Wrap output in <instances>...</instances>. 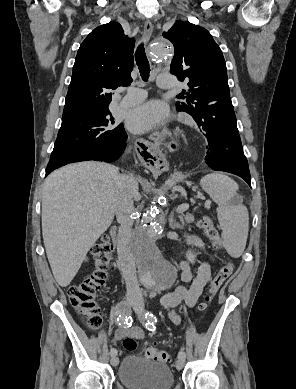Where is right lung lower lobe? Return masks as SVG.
<instances>
[{
	"label": "right lung lower lobe",
	"mask_w": 296,
	"mask_h": 389,
	"mask_svg": "<svg viewBox=\"0 0 296 389\" xmlns=\"http://www.w3.org/2000/svg\"><path fill=\"white\" fill-rule=\"evenodd\" d=\"M126 139H127V134L124 131L123 140L121 142H119L117 145L111 147L110 149L102 148V149H97V150H93V151L82 152L79 155V157H77L73 160L60 162L55 166L47 168L46 169V176L54 169L59 168L61 166H64L68 163L87 161V160L113 162V161L117 160L121 156V154L123 153V151L125 149Z\"/></svg>",
	"instance_id": "obj_1"
}]
</instances>
